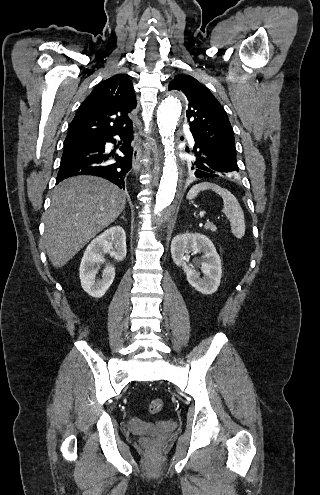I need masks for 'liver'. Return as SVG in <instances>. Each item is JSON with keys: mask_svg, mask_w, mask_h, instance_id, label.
Instances as JSON below:
<instances>
[{"mask_svg": "<svg viewBox=\"0 0 320 495\" xmlns=\"http://www.w3.org/2000/svg\"><path fill=\"white\" fill-rule=\"evenodd\" d=\"M126 196L114 184L97 177L74 176L55 189L46 213L43 236L49 260L64 266L125 209Z\"/></svg>", "mask_w": 320, "mask_h": 495, "instance_id": "liver-1", "label": "liver"}]
</instances>
